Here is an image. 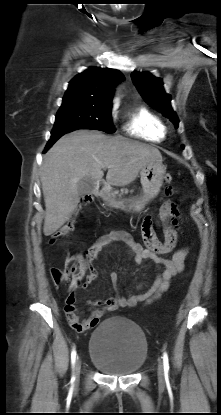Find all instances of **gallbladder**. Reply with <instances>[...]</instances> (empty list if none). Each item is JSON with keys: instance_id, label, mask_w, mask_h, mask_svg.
Here are the masks:
<instances>
[{"instance_id": "obj_1", "label": "gallbladder", "mask_w": 221, "mask_h": 415, "mask_svg": "<svg viewBox=\"0 0 221 415\" xmlns=\"http://www.w3.org/2000/svg\"><path fill=\"white\" fill-rule=\"evenodd\" d=\"M96 181L91 177H83L77 183V190L80 195H85L93 191Z\"/></svg>"}]
</instances>
